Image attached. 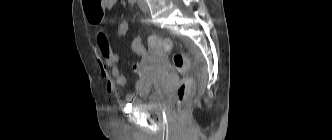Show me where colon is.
<instances>
[{"instance_id":"colon-1","label":"colon","mask_w":332,"mask_h":140,"mask_svg":"<svg viewBox=\"0 0 332 140\" xmlns=\"http://www.w3.org/2000/svg\"><path fill=\"white\" fill-rule=\"evenodd\" d=\"M104 0H83V6L87 18L93 21H100L103 16ZM112 31L116 36H125L129 32V23L126 20L116 22L112 26ZM148 48L151 50H161L171 52L173 43L169 39L150 36L147 40ZM172 64L176 71L181 75V79L176 88V108L179 121L183 123L194 104L193 81L188 75L190 62L182 53H175L172 56Z\"/></svg>"}]
</instances>
